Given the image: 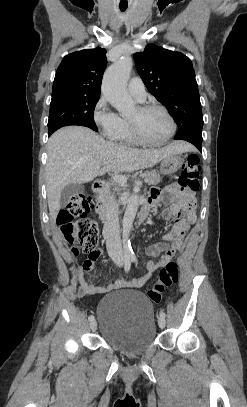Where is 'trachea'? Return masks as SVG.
<instances>
[{
    "label": "trachea",
    "mask_w": 247,
    "mask_h": 407,
    "mask_svg": "<svg viewBox=\"0 0 247 407\" xmlns=\"http://www.w3.org/2000/svg\"><path fill=\"white\" fill-rule=\"evenodd\" d=\"M119 8H120V10H121L122 12H124V11H126L127 6H119Z\"/></svg>",
    "instance_id": "trachea-1"
}]
</instances>
